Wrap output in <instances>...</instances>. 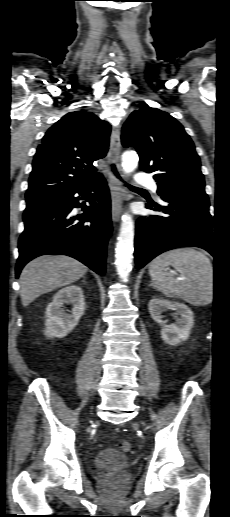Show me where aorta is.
Listing matches in <instances>:
<instances>
[{"instance_id":"1","label":"aorta","mask_w":230,"mask_h":517,"mask_svg":"<svg viewBox=\"0 0 230 517\" xmlns=\"http://www.w3.org/2000/svg\"><path fill=\"white\" fill-rule=\"evenodd\" d=\"M138 155L134 151L122 154V168L125 174L132 173L138 165ZM134 251V221L129 213L122 216L119 236L117 238L115 257L116 269L123 281L128 280Z\"/></svg>"}]
</instances>
